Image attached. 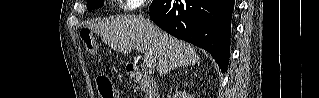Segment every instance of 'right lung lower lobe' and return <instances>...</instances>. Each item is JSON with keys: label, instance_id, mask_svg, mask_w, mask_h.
<instances>
[{"label": "right lung lower lobe", "instance_id": "1", "mask_svg": "<svg viewBox=\"0 0 319 98\" xmlns=\"http://www.w3.org/2000/svg\"><path fill=\"white\" fill-rule=\"evenodd\" d=\"M233 9L234 0H154L150 16L166 32L208 51L225 72Z\"/></svg>", "mask_w": 319, "mask_h": 98}]
</instances>
